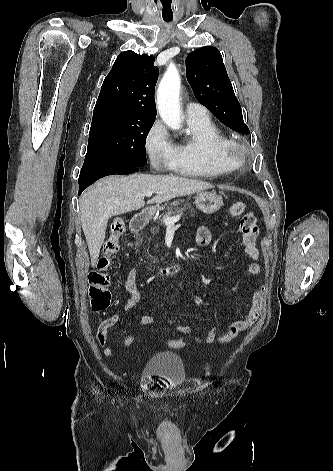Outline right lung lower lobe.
I'll return each instance as SVG.
<instances>
[{"label": "right lung lower lobe", "instance_id": "obj_1", "mask_svg": "<svg viewBox=\"0 0 333 471\" xmlns=\"http://www.w3.org/2000/svg\"><path fill=\"white\" fill-rule=\"evenodd\" d=\"M136 167H125L118 165H83L79 176V195L85 188L96 180L108 175H126L138 171Z\"/></svg>", "mask_w": 333, "mask_h": 471}]
</instances>
